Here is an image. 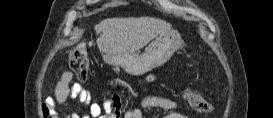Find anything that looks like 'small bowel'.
Instances as JSON below:
<instances>
[{
	"label": "small bowel",
	"instance_id": "obj_1",
	"mask_svg": "<svg viewBox=\"0 0 273 118\" xmlns=\"http://www.w3.org/2000/svg\"><path fill=\"white\" fill-rule=\"evenodd\" d=\"M191 93L193 92L186 91V93L184 94V99L189 103L192 108H194L190 99ZM71 96L73 98H76L80 103L87 107V113L83 116V118H104V113L107 115L108 118L121 117L122 106L118 95H113L111 98H106L101 102L94 101L91 97V94L85 88H83L79 84H75L72 87ZM201 98L204 99L203 97ZM143 107H158L163 110L170 111L164 118H187L186 115L174 112V110L182 108V106L177 101L156 94H151L147 91L145 96L134 108L125 112L124 117L141 118V109Z\"/></svg>",
	"mask_w": 273,
	"mask_h": 118
}]
</instances>
